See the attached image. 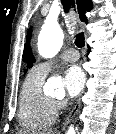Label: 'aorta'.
Returning a JSON list of instances; mask_svg holds the SVG:
<instances>
[{
  "instance_id": "aorta-1",
  "label": "aorta",
  "mask_w": 116,
  "mask_h": 134,
  "mask_svg": "<svg viewBox=\"0 0 116 134\" xmlns=\"http://www.w3.org/2000/svg\"><path fill=\"white\" fill-rule=\"evenodd\" d=\"M63 39L64 35L60 26L55 22H46L38 36L37 45L40 55L45 58L55 56L63 45ZM45 86L56 94L64 92L61 80L56 77H50ZM67 134H76V129L70 126Z\"/></svg>"
}]
</instances>
